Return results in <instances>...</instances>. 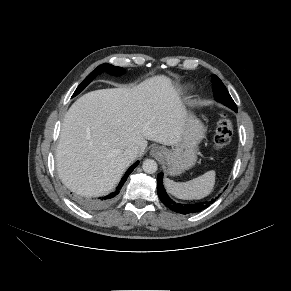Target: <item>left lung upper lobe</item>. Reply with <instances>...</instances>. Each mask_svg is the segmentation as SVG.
Wrapping results in <instances>:
<instances>
[{
    "mask_svg": "<svg viewBox=\"0 0 291 291\" xmlns=\"http://www.w3.org/2000/svg\"><path fill=\"white\" fill-rule=\"evenodd\" d=\"M212 85L215 100L233 109L234 111H237L235 102L222 81L216 75H212Z\"/></svg>",
    "mask_w": 291,
    "mask_h": 291,
    "instance_id": "left-lung-upper-lobe-1",
    "label": "left lung upper lobe"
}]
</instances>
